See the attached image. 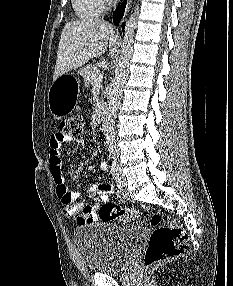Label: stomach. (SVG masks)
Segmentation results:
<instances>
[{
    "instance_id": "0dacf381",
    "label": "stomach",
    "mask_w": 233,
    "mask_h": 286,
    "mask_svg": "<svg viewBox=\"0 0 233 286\" xmlns=\"http://www.w3.org/2000/svg\"><path fill=\"white\" fill-rule=\"evenodd\" d=\"M61 75L53 81L48 91V104L53 116L61 118L69 114L77 102V91Z\"/></svg>"
}]
</instances>
